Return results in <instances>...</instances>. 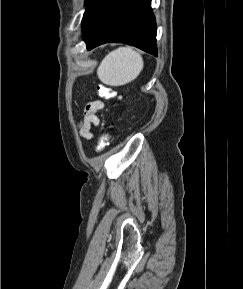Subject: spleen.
<instances>
[{"mask_svg": "<svg viewBox=\"0 0 243 289\" xmlns=\"http://www.w3.org/2000/svg\"><path fill=\"white\" fill-rule=\"evenodd\" d=\"M143 66V58L138 52L131 47H120L105 56L97 75L106 85L121 86L137 78Z\"/></svg>", "mask_w": 243, "mask_h": 289, "instance_id": "spleen-1", "label": "spleen"}]
</instances>
